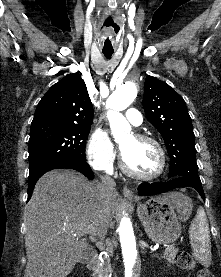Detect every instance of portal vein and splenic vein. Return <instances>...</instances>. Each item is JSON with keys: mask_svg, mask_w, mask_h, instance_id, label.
<instances>
[{"mask_svg": "<svg viewBox=\"0 0 221 277\" xmlns=\"http://www.w3.org/2000/svg\"><path fill=\"white\" fill-rule=\"evenodd\" d=\"M85 232H90L92 235H95L94 233V230L91 228V227H88L85 229ZM173 247L168 245L166 248H165V251H168V250H171Z\"/></svg>", "mask_w": 221, "mask_h": 277, "instance_id": "1", "label": "portal vein and splenic vein"}]
</instances>
